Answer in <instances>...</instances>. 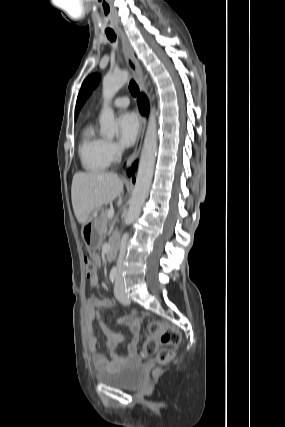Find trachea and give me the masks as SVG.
Segmentation results:
<instances>
[{"label": "trachea", "instance_id": "3493384b", "mask_svg": "<svg viewBox=\"0 0 285 427\" xmlns=\"http://www.w3.org/2000/svg\"><path fill=\"white\" fill-rule=\"evenodd\" d=\"M106 35H107V38L110 41L114 42L116 40V35H115L114 31H106ZM129 91L131 92V94L134 97H136L138 95V93H139V87L135 83L134 80H131L130 83H129Z\"/></svg>", "mask_w": 285, "mask_h": 427}]
</instances>
